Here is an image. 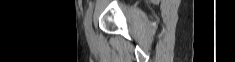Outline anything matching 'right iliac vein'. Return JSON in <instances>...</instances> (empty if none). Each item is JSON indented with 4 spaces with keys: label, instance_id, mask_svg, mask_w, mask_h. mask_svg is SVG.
Wrapping results in <instances>:
<instances>
[{
    "label": "right iliac vein",
    "instance_id": "right-iliac-vein-1",
    "mask_svg": "<svg viewBox=\"0 0 235 62\" xmlns=\"http://www.w3.org/2000/svg\"><path fill=\"white\" fill-rule=\"evenodd\" d=\"M87 37L92 40L94 39V31L93 29L91 28L90 31L87 33Z\"/></svg>",
    "mask_w": 235,
    "mask_h": 62
}]
</instances>
